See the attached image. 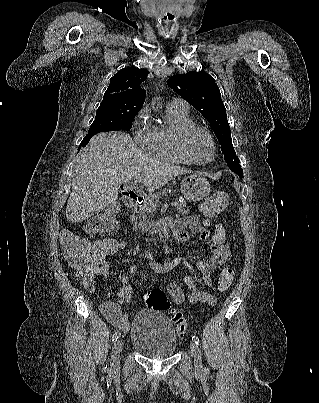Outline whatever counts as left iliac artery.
Wrapping results in <instances>:
<instances>
[{"mask_svg":"<svg viewBox=\"0 0 319 403\" xmlns=\"http://www.w3.org/2000/svg\"><path fill=\"white\" fill-rule=\"evenodd\" d=\"M192 340L197 344V345H199V343H200V340H199V338L197 337V336H192Z\"/></svg>","mask_w":319,"mask_h":403,"instance_id":"obj_1","label":"left iliac artery"}]
</instances>
